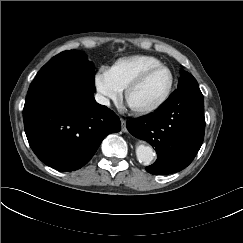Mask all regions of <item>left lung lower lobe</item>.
Returning <instances> with one entry per match:
<instances>
[{"mask_svg": "<svg viewBox=\"0 0 243 243\" xmlns=\"http://www.w3.org/2000/svg\"><path fill=\"white\" fill-rule=\"evenodd\" d=\"M127 129L156 148L158 159L147 172L163 175L186 168L204 138V100L198 85L178 87L153 113L128 121Z\"/></svg>", "mask_w": 243, "mask_h": 243, "instance_id": "0a47b994", "label": "left lung lower lobe"}]
</instances>
